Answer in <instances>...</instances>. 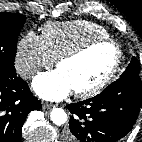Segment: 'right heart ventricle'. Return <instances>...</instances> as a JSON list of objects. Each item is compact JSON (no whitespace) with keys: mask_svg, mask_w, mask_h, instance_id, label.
Instances as JSON below:
<instances>
[{"mask_svg":"<svg viewBox=\"0 0 142 142\" xmlns=\"http://www.w3.org/2000/svg\"><path fill=\"white\" fill-rule=\"evenodd\" d=\"M41 38L49 54L56 60L61 54L89 40L109 38V33L97 23L87 20H74L45 24Z\"/></svg>","mask_w":142,"mask_h":142,"instance_id":"e07e8e85","label":"right heart ventricle"}]
</instances>
